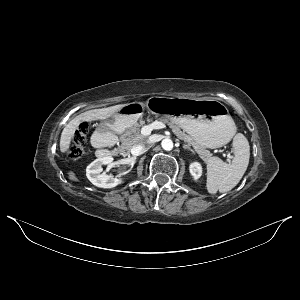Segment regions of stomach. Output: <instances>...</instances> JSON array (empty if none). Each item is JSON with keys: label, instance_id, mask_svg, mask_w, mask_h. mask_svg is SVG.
I'll return each mask as SVG.
<instances>
[{"label": "stomach", "instance_id": "1", "mask_svg": "<svg viewBox=\"0 0 300 300\" xmlns=\"http://www.w3.org/2000/svg\"><path fill=\"white\" fill-rule=\"evenodd\" d=\"M146 109L155 116L171 119L194 141L207 148L224 146L236 132L235 123L224 104L212 99L185 97H152L146 103L125 104L106 125L120 134L136 124Z\"/></svg>", "mask_w": 300, "mask_h": 300}]
</instances>
